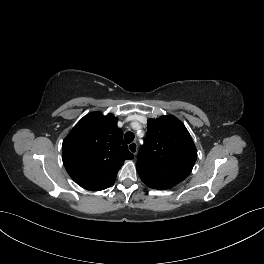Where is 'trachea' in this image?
I'll list each match as a JSON object with an SVG mask.
<instances>
[{
  "instance_id": "trachea-1",
  "label": "trachea",
  "mask_w": 264,
  "mask_h": 264,
  "mask_svg": "<svg viewBox=\"0 0 264 264\" xmlns=\"http://www.w3.org/2000/svg\"><path fill=\"white\" fill-rule=\"evenodd\" d=\"M134 133L132 132H126L125 135H124V139L126 141V143H131L133 140H134Z\"/></svg>"
}]
</instances>
